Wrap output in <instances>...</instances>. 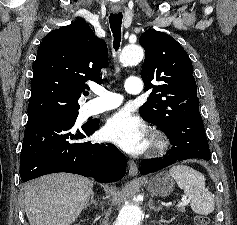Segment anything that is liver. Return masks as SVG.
<instances>
[{
    "mask_svg": "<svg viewBox=\"0 0 237 225\" xmlns=\"http://www.w3.org/2000/svg\"><path fill=\"white\" fill-rule=\"evenodd\" d=\"M93 182L74 174H49L24 185L30 225H71L88 204Z\"/></svg>",
    "mask_w": 237,
    "mask_h": 225,
    "instance_id": "liver-1",
    "label": "liver"
}]
</instances>
